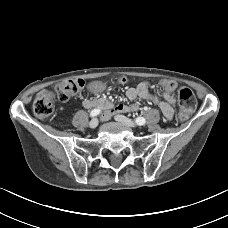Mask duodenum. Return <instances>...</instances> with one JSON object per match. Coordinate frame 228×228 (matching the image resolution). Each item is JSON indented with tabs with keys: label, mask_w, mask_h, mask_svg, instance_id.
<instances>
[{
	"label": "duodenum",
	"mask_w": 228,
	"mask_h": 228,
	"mask_svg": "<svg viewBox=\"0 0 228 228\" xmlns=\"http://www.w3.org/2000/svg\"><path fill=\"white\" fill-rule=\"evenodd\" d=\"M105 105H106V106H110L111 103H110L109 101H107V102H105Z\"/></svg>",
	"instance_id": "obj_1"
}]
</instances>
